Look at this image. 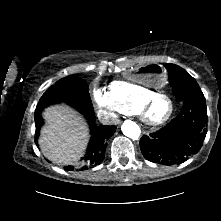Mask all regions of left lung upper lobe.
Returning <instances> with one entry per match:
<instances>
[{
  "label": "left lung upper lobe",
  "instance_id": "left-lung-upper-lobe-1",
  "mask_svg": "<svg viewBox=\"0 0 221 221\" xmlns=\"http://www.w3.org/2000/svg\"><path fill=\"white\" fill-rule=\"evenodd\" d=\"M169 73V80L176 98L185 103L196 99L204 98V95L196 80L183 68L175 64H166Z\"/></svg>",
  "mask_w": 221,
  "mask_h": 221
}]
</instances>
